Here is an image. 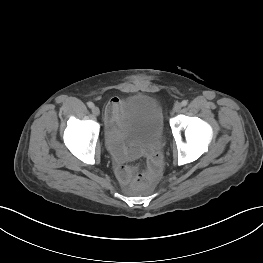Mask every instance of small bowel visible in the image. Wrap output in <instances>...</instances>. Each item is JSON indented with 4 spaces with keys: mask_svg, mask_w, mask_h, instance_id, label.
I'll list each match as a JSON object with an SVG mask.
<instances>
[{
    "mask_svg": "<svg viewBox=\"0 0 263 263\" xmlns=\"http://www.w3.org/2000/svg\"><path fill=\"white\" fill-rule=\"evenodd\" d=\"M122 105L123 101L120 98H111L106 108L105 122L108 145L115 161L116 174L119 180L127 185L136 172L135 168L127 165V162L140 157L142 154L137 151L126 150L120 144L117 126L121 120ZM146 155L149 162L155 158L160 159L157 153L149 152Z\"/></svg>",
    "mask_w": 263,
    "mask_h": 263,
    "instance_id": "obj_1",
    "label": "small bowel"
}]
</instances>
